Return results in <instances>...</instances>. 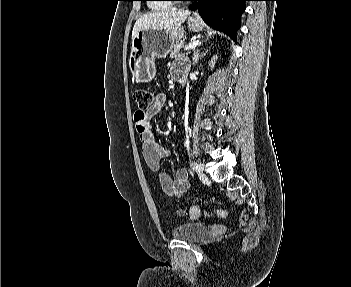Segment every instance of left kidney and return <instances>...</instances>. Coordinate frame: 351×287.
<instances>
[{
	"mask_svg": "<svg viewBox=\"0 0 351 287\" xmlns=\"http://www.w3.org/2000/svg\"><path fill=\"white\" fill-rule=\"evenodd\" d=\"M216 59H217V56H213V58H212V60H211V62H210L211 68L214 67V65H215V60H216Z\"/></svg>",
	"mask_w": 351,
	"mask_h": 287,
	"instance_id": "1",
	"label": "left kidney"
}]
</instances>
